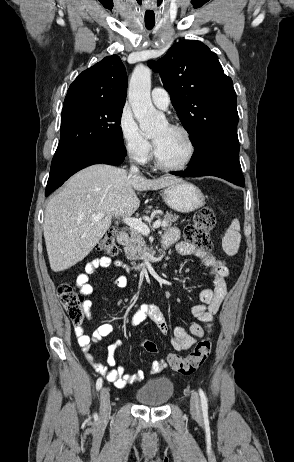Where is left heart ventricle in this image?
Listing matches in <instances>:
<instances>
[{
    "label": "left heart ventricle",
    "mask_w": 294,
    "mask_h": 462,
    "mask_svg": "<svg viewBox=\"0 0 294 462\" xmlns=\"http://www.w3.org/2000/svg\"><path fill=\"white\" fill-rule=\"evenodd\" d=\"M160 160L168 165L180 164L189 152L185 136L164 124L152 134Z\"/></svg>",
    "instance_id": "b2bd125f"
}]
</instances>
